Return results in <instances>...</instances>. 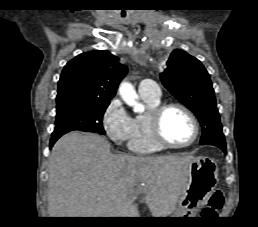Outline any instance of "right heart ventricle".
I'll return each instance as SVG.
<instances>
[{"instance_id": "e07e8e85", "label": "right heart ventricle", "mask_w": 258, "mask_h": 227, "mask_svg": "<svg viewBox=\"0 0 258 227\" xmlns=\"http://www.w3.org/2000/svg\"><path fill=\"white\" fill-rule=\"evenodd\" d=\"M143 101L147 105L148 111L143 114H139L133 118V134L129 141V148L132 152L139 154L155 153L163 149L154 139L150 123L149 113L158 106L161 101L159 99H152L142 97Z\"/></svg>"}]
</instances>
